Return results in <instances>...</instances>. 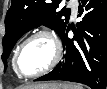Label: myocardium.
<instances>
[{"label":"myocardium","mask_w":107,"mask_h":89,"mask_svg":"<svg viewBox=\"0 0 107 89\" xmlns=\"http://www.w3.org/2000/svg\"><path fill=\"white\" fill-rule=\"evenodd\" d=\"M37 36H45L47 38H49L54 46V56L52 61L50 62V64L44 68L43 70H40L36 73L33 74H23L20 72L19 67H18V57L19 54L22 50V48L24 47V45L30 41L31 39L37 37ZM62 57V45L61 42L59 40V38L57 37V35L52 32L49 29H38L35 30L34 32H32L31 34H29L16 48L14 56H13V69L16 72V74L20 77L23 78H35V77H39L42 76L48 72H50L52 69H54L57 64L60 62Z\"/></svg>","instance_id":"obj_1"}]
</instances>
